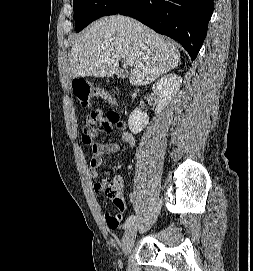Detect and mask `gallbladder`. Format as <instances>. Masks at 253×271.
Returning <instances> with one entry per match:
<instances>
[{
  "mask_svg": "<svg viewBox=\"0 0 253 271\" xmlns=\"http://www.w3.org/2000/svg\"><path fill=\"white\" fill-rule=\"evenodd\" d=\"M128 76L127 70H120L117 73V78L125 79Z\"/></svg>",
  "mask_w": 253,
  "mask_h": 271,
  "instance_id": "obj_1",
  "label": "gallbladder"
}]
</instances>
